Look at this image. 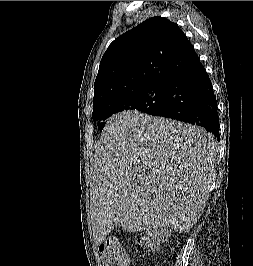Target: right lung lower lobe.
Instances as JSON below:
<instances>
[{"instance_id":"right-lung-lower-lobe-1","label":"right lung lower lobe","mask_w":253,"mask_h":266,"mask_svg":"<svg viewBox=\"0 0 253 266\" xmlns=\"http://www.w3.org/2000/svg\"><path fill=\"white\" fill-rule=\"evenodd\" d=\"M217 110L212 83L198 59L169 79L163 107L155 116L201 126L219 140Z\"/></svg>"}]
</instances>
